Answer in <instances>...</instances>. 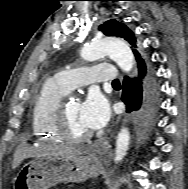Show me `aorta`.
<instances>
[{"mask_svg": "<svg viewBox=\"0 0 188 189\" xmlns=\"http://www.w3.org/2000/svg\"><path fill=\"white\" fill-rule=\"evenodd\" d=\"M108 55L124 72H130L134 65V55L126 42L114 37H105L95 40L84 46L81 56L86 61H96ZM130 143V132L123 127L116 141L115 163L121 162L127 154Z\"/></svg>", "mask_w": 188, "mask_h": 189, "instance_id": "1", "label": "aorta"}]
</instances>
